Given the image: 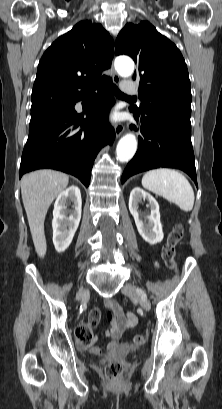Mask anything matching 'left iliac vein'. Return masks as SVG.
<instances>
[{
    "mask_svg": "<svg viewBox=\"0 0 222 409\" xmlns=\"http://www.w3.org/2000/svg\"><path fill=\"white\" fill-rule=\"evenodd\" d=\"M122 293L128 296L130 299L138 301L144 310H150L151 304L143 289L131 284H125L122 288Z\"/></svg>",
    "mask_w": 222,
    "mask_h": 409,
    "instance_id": "obj_1",
    "label": "left iliac vein"
}]
</instances>
